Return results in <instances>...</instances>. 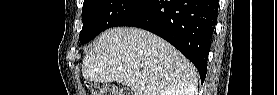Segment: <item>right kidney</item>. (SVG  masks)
<instances>
[{
	"label": "right kidney",
	"instance_id": "ca27d5eb",
	"mask_svg": "<svg viewBox=\"0 0 277 95\" xmlns=\"http://www.w3.org/2000/svg\"><path fill=\"white\" fill-rule=\"evenodd\" d=\"M189 89L184 84H175L171 87H169L163 95H193L192 93H189Z\"/></svg>",
	"mask_w": 277,
	"mask_h": 95
}]
</instances>
